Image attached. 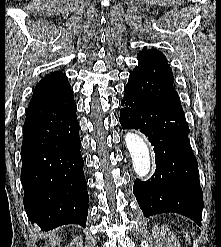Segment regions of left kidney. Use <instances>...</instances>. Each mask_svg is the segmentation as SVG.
I'll return each mask as SVG.
<instances>
[{
	"mask_svg": "<svg viewBox=\"0 0 221 247\" xmlns=\"http://www.w3.org/2000/svg\"><path fill=\"white\" fill-rule=\"evenodd\" d=\"M152 236L156 247H181L178 238L166 226L154 225Z\"/></svg>",
	"mask_w": 221,
	"mask_h": 247,
	"instance_id": "5707ae66",
	"label": "left kidney"
}]
</instances>
